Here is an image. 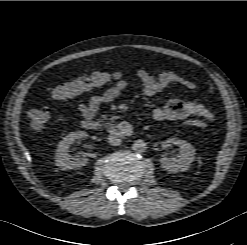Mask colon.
<instances>
[{
	"instance_id": "obj_1",
	"label": "colon",
	"mask_w": 247,
	"mask_h": 245,
	"mask_svg": "<svg viewBox=\"0 0 247 245\" xmlns=\"http://www.w3.org/2000/svg\"><path fill=\"white\" fill-rule=\"evenodd\" d=\"M121 77L119 72L99 70L86 76L79 77L70 82L61 84L51 91L53 100H66L78 96L93 89L105 87ZM30 125L34 130L45 126L49 119V112L44 108L31 109L29 111ZM185 124L194 128H206L207 123L199 119H188Z\"/></svg>"
}]
</instances>
